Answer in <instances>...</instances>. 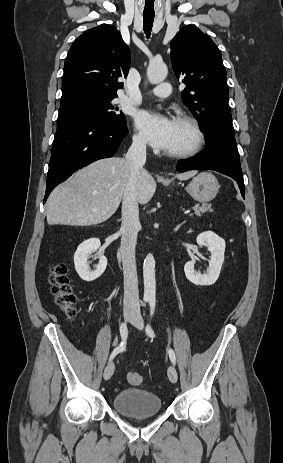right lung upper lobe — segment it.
<instances>
[{"label":"right lung upper lobe","mask_w":283,"mask_h":463,"mask_svg":"<svg viewBox=\"0 0 283 463\" xmlns=\"http://www.w3.org/2000/svg\"><path fill=\"white\" fill-rule=\"evenodd\" d=\"M130 50L115 26L102 24L79 36L64 64L61 106L94 96H117L126 77Z\"/></svg>","instance_id":"1"}]
</instances>
